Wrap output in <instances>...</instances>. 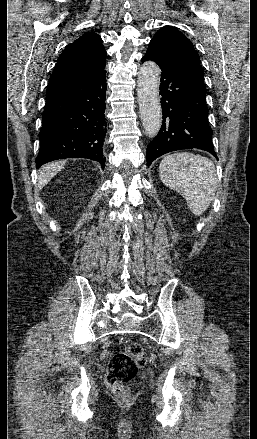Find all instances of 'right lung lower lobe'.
Masks as SVG:
<instances>
[{
  "label": "right lung lower lobe",
  "instance_id": "1",
  "mask_svg": "<svg viewBox=\"0 0 257 439\" xmlns=\"http://www.w3.org/2000/svg\"><path fill=\"white\" fill-rule=\"evenodd\" d=\"M106 71L47 94L36 167L65 158H88L104 168Z\"/></svg>",
  "mask_w": 257,
  "mask_h": 439
}]
</instances>
